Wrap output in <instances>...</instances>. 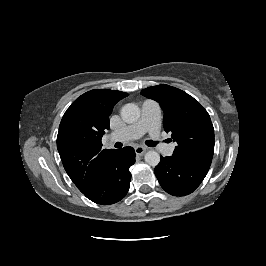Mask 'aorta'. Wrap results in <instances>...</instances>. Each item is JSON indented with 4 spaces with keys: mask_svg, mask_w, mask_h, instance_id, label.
Instances as JSON below:
<instances>
[{
    "mask_svg": "<svg viewBox=\"0 0 266 266\" xmlns=\"http://www.w3.org/2000/svg\"><path fill=\"white\" fill-rule=\"evenodd\" d=\"M121 117L126 123H134L140 117V109L134 103L125 104L121 110ZM145 162L150 166H157L160 162V155L154 150L145 153Z\"/></svg>",
    "mask_w": 266,
    "mask_h": 266,
    "instance_id": "1",
    "label": "aorta"
}]
</instances>
